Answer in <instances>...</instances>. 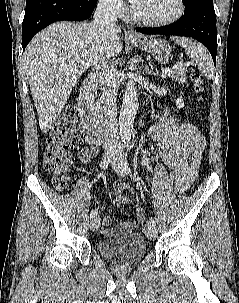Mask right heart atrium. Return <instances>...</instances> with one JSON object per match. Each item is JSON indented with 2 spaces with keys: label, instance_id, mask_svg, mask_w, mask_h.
I'll return each instance as SVG.
<instances>
[{
  "label": "right heart atrium",
  "instance_id": "d8ad5b80",
  "mask_svg": "<svg viewBox=\"0 0 239 303\" xmlns=\"http://www.w3.org/2000/svg\"><path fill=\"white\" fill-rule=\"evenodd\" d=\"M103 8L117 15H124L127 11V6L123 0H99Z\"/></svg>",
  "mask_w": 239,
  "mask_h": 303
}]
</instances>
